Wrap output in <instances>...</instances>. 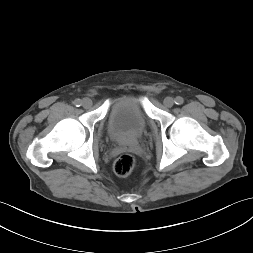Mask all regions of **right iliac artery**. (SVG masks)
<instances>
[{
    "label": "right iliac artery",
    "mask_w": 253,
    "mask_h": 253,
    "mask_svg": "<svg viewBox=\"0 0 253 253\" xmlns=\"http://www.w3.org/2000/svg\"><path fill=\"white\" fill-rule=\"evenodd\" d=\"M73 104L76 106V107H80L82 105V101L80 99H76L74 100Z\"/></svg>",
    "instance_id": "82829eb1"
}]
</instances>
